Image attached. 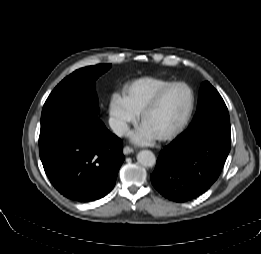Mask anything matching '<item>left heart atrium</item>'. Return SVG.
<instances>
[{
	"label": "left heart atrium",
	"mask_w": 261,
	"mask_h": 254,
	"mask_svg": "<svg viewBox=\"0 0 261 254\" xmlns=\"http://www.w3.org/2000/svg\"><path fill=\"white\" fill-rule=\"evenodd\" d=\"M130 137L132 141L138 144H146L153 140V136H151L143 127L137 131L132 132Z\"/></svg>",
	"instance_id": "left-heart-atrium-1"
}]
</instances>
